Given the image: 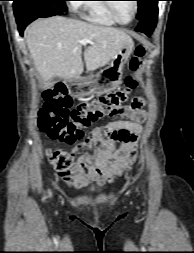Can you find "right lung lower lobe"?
Instances as JSON below:
<instances>
[{"instance_id": "obj_1", "label": "right lung lower lobe", "mask_w": 194, "mask_h": 253, "mask_svg": "<svg viewBox=\"0 0 194 253\" xmlns=\"http://www.w3.org/2000/svg\"><path fill=\"white\" fill-rule=\"evenodd\" d=\"M62 13H64V11L53 6L52 7L41 6L38 8L31 7L26 9L25 11L21 12L18 16H16V21L20 35L23 34L25 27L36 18L50 17L54 15H60Z\"/></svg>"}]
</instances>
